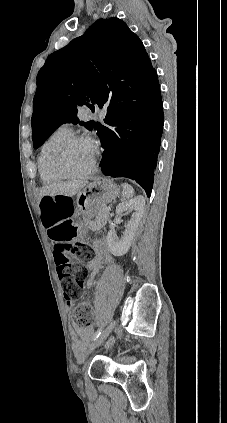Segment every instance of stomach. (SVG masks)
Here are the masks:
<instances>
[{"mask_svg":"<svg viewBox=\"0 0 227 423\" xmlns=\"http://www.w3.org/2000/svg\"><path fill=\"white\" fill-rule=\"evenodd\" d=\"M119 194L118 186H114L112 180L106 178H97L91 184H88L82 192H79L76 200V208L81 213H87L92 217L99 206L110 204Z\"/></svg>","mask_w":227,"mask_h":423,"instance_id":"obj_1","label":"stomach"}]
</instances>
